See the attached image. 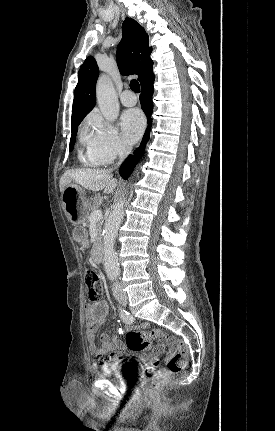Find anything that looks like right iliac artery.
<instances>
[{"label":"right iliac artery","instance_id":"right-iliac-artery-1","mask_svg":"<svg viewBox=\"0 0 275 431\" xmlns=\"http://www.w3.org/2000/svg\"><path fill=\"white\" fill-rule=\"evenodd\" d=\"M120 317L126 324H132L134 322L133 316L124 309H120Z\"/></svg>","mask_w":275,"mask_h":431}]
</instances>
